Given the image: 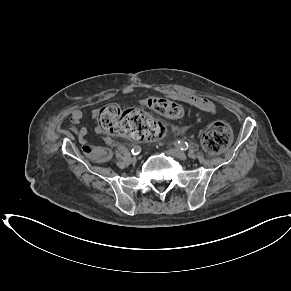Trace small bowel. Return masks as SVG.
<instances>
[{
  "mask_svg": "<svg viewBox=\"0 0 291 291\" xmlns=\"http://www.w3.org/2000/svg\"><path fill=\"white\" fill-rule=\"evenodd\" d=\"M181 100L187 105L194 107L200 111L206 112L211 115L217 113L216 105L209 99L195 96V95H185L181 97ZM95 114V113H94ZM85 115L81 110H75L70 116V130L75 133L78 137L80 144L87 145V135L88 129L86 127H81L80 124L83 121ZM96 132L99 133V128H96ZM104 141L106 144H112L113 140L111 137L105 136Z\"/></svg>",
  "mask_w": 291,
  "mask_h": 291,
  "instance_id": "small-bowel-1",
  "label": "small bowel"
}]
</instances>
